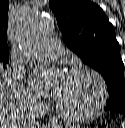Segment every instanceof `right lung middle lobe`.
I'll return each instance as SVG.
<instances>
[{"label":"right lung middle lobe","mask_w":125,"mask_h":128,"mask_svg":"<svg viewBox=\"0 0 125 128\" xmlns=\"http://www.w3.org/2000/svg\"><path fill=\"white\" fill-rule=\"evenodd\" d=\"M9 62V59H1L0 58V65L3 64V67L5 68L4 64H7ZM2 66V65H1Z\"/></svg>","instance_id":"1"}]
</instances>
